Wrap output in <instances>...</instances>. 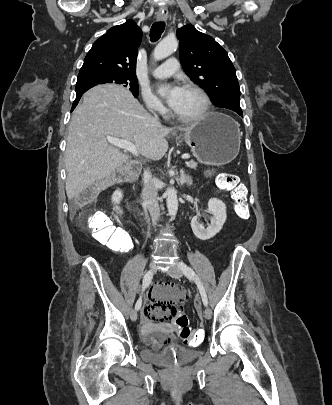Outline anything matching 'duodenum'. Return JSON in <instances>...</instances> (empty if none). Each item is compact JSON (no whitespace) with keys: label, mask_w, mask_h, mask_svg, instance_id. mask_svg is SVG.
Wrapping results in <instances>:
<instances>
[{"label":"duodenum","mask_w":332,"mask_h":405,"mask_svg":"<svg viewBox=\"0 0 332 405\" xmlns=\"http://www.w3.org/2000/svg\"><path fill=\"white\" fill-rule=\"evenodd\" d=\"M134 175H135V167H131L130 169L118 175V181L121 183L129 182L134 178Z\"/></svg>","instance_id":"obj_1"}]
</instances>
